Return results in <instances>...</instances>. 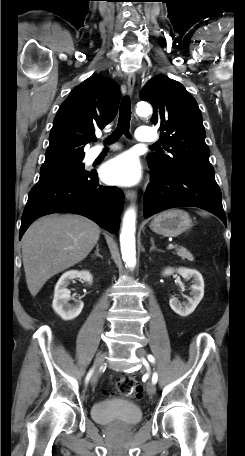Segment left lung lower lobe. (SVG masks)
Segmentation results:
<instances>
[{
  "label": "left lung lower lobe",
  "mask_w": 245,
  "mask_h": 456,
  "mask_svg": "<svg viewBox=\"0 0 245 456\" xmlns=\"http://www.w3.org/2000/svg\"><path fill=\"white\" fill-rule=\"evenodd\" d=\"M151 169V182L144 196V217L173 207H199L219 217L226 224L222 196L214 175Z\"/></svg>",
  "instance_id": "1"
}]
</instances>
